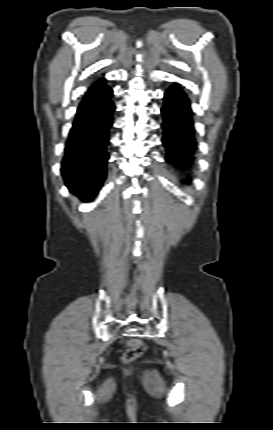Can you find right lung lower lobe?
Returning <instances> with one entry per match:
<instances>
[{"label": "right lung lower lobe", "instance_id": "obj_1", "mask_svg": "<svg viewBox=\"0 0 273 430\" xmlns=\"http://www.w3.org/2000/svg\"><path fill=\"white\" fill-rule=\"evenodd\" d=\"M113 91L101 79L80 103L65 147L62 175L69 190L92 200L105 177L109 130L113 124Z\"/></svg>", "mask_w": 273, "mask_h": 430}]
</instances>
